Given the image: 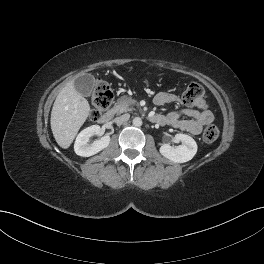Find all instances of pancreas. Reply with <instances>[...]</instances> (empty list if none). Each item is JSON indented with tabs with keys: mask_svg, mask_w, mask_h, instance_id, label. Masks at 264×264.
I'll return each instance as SVG.
<instances>
[{
	"mask_svg": "<svg viewBox=\"0 0 264 264\" xmlns=\"http://www.w3.org/2000/svg\"><path fill=\"white\" fill-rule=\"evenodd\" d=\"M137 102L130 97L123 96L118 99L117 103L115 104L114 109L118 113H123V112H131L134 111V105H136Z\"/></svg>",
	"mask_w": 264,
	"mask_h": 264,
	"instance_id": "1",
	"label": "pancreas"
}]
</instances>
